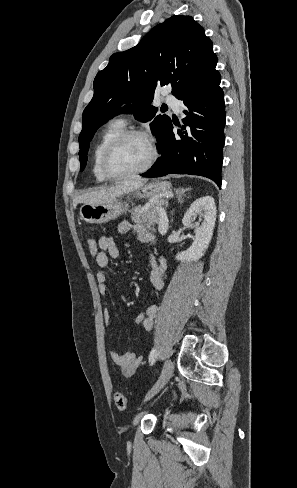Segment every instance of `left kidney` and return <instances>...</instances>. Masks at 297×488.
<instances>
[{
  "label": "left kidney",
  "instance_id": "5707ae66",
  "mask_svg": "<svg viewBox=\"0 0 297 488\" xmlns=\"http://www.w3.org/2000/svg\"><path fill=\"white\" fill-rule=\"evenodd\" d=\"M202 215L204 220L201 225H193V218ZM216 221L215 201L211 196H205L196 199L188 208L182 223L188 228L195 229V239L190 248L184 252L176 254L175 258L181 262H192L200 259L209 246L213 235V229Z\"/></svg>",
  "mask_w": 297,
  "mask_h": 488
}]
</instances>
